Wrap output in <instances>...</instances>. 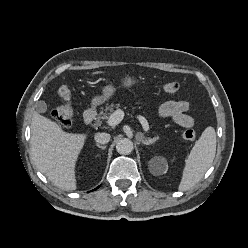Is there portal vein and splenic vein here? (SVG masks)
Listing matches in <instances>:
<instances>
[{"mask_svg":"<svg viewBox=\"0 0 248 248\" xmlns=\"http://www.w3.org/2000/svg\"><path fill=\"white\" fill-rule=\"evenodd\" d=\"M124 115H125V113L123 110H121V109L115 110L114 113H112L108 119V125L111 127L118 125L122 121V119L124 118ZM137 119L141 123L143 129L145 131H148L149 130V124H148L146 118L143 117L142 115H137Z\"/></svg>","mask_w":248,"mask_h":248,"instance_id":"18ae733b","label":"portal vein and splenic vein"}]
</instances>
